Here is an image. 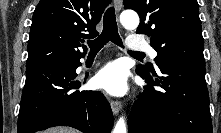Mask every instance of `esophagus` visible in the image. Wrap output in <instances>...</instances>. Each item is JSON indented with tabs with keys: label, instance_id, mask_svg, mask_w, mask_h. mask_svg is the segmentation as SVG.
<instances>
[{
	"label": "esophagus",
	"instance_id": "obj_1",
	"mask_svg": "<svg viewBox=\"0 0 221 133\" xmlns=\"http://www.w3.org/2000/svg\"><path fill=\"white\" fill-rule=\"evenodd\" d=\"M114 5H115L116 11L119 13L122 8V0H114ZM110 105H111L113 114L117 115L119 111L121 110V103L119 101L111 100Z\"/></svg>",
	"mask_w": 221,
	"mask_h": 133
}]
</instances>
